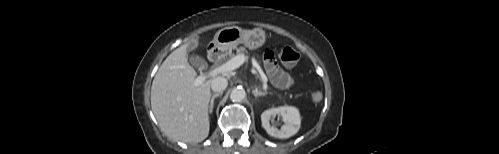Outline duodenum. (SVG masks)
<instances>
[{
	"label": "duodenum",
	"instance_id": "1",
	"mask_svg": "<svg viewBox=\"0 0 499 154\" xmlns=\"http://www.w3.org/2000/svg\"><path fill=\"white\" fill-rule=\"evenodd\" d=\"M218 57H219V51L217 48H213L209 51L208 53V58L211 62H217L218 60Z\"/></svg>",
	"mask_w": 499,
	"mask_h": 154
}]
</instances>
